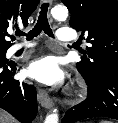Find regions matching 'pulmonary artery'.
<instances>
[{
	"label": "pulmonary artery",
	"mask_w": 118,
	"mask_h": 123,
	"mask_svg": "<svg viewBox=\"0 0 118 123\" xmlns=\"http://www.w3.org/2000/svg\"><path fill=\"white\" fill-rule=\"evenodd\" d=\"M57 38L60 41H72L75 40L76 38V34L73 32V30L71 28H60L57 31ZM33 46V44L31 43H19V44H15L14 46H12L11 48V52L15 53L18 52L20 50L23 49H29Z\"/></svg>",
	"instance_id": "1"
}]
</instances>
